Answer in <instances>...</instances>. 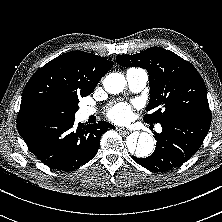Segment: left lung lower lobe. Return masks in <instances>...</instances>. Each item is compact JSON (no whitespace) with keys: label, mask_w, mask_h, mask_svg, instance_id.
Listing matches in <instances>:
<instances>
[{"label":"left lung lower lobe","mask_w":222,"mask_h":222,"mask_svg":"<svg viewBox=\"0 0 222 222\" xmlns=\"http://www.w3.org/2000/svg\"><path fill=\"white\" fill-rule=\"evenodd\" d=\"M162 132L154 133L157 141L153 154L147 158L132 157L141 166L154 172H166L190 159L202 145L211 118L185 115L160 123Z\"/></svg>","instance_id":"1"}]
</instances>
